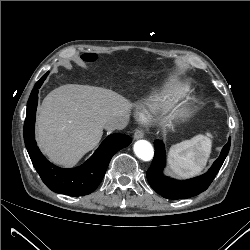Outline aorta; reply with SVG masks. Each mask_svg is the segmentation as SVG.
Listing matches in <instances>:
<instances>
[{
	"instance_id": "1",
	"label": "aorta",
	"mask_w": 250,
	"mask_h": 250,
	"mask_svg": "<svg viewBox=\"0 0 250 250\" xmlns=\"http://www.w3.org/2000/svg\"><path fill=\"white\" fill-rule=\"evenodd\" d=\"M136 156L144 161H150L154 156L152 145L146 140H139L134 144Z\"/></svg>"
}]
</instances>
